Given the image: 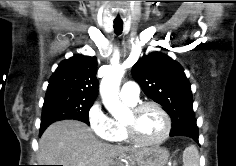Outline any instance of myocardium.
I'll use <instances>...</instances> for the list:
<instances>
[{"label":"myocardium","instance_id":"f54148a6","mask_svg":"<svg viewBox=\"0 0 236 166\" xmlns=\"http://www.w3.org/2000/svg\"><path fill=\"white\" fill-rule=\"evenodd\" d=\"M148 107H153L157 109L164 119V125H165L164 131L163 134L158 139L153 141H144L138 137L132 122H127V121L123 122L124 128L130 141L142 147H153L160 145L167 139L171 130V119L169 117V114L159 103L155 101H145L134 105L130 109V114L132 115V117H136L140 112H142L145 108Z\"/></svg>","mask_w":236,"mask_h":166}]
</instances>
